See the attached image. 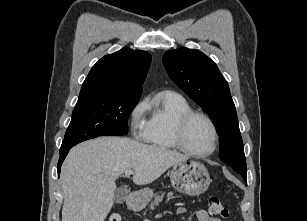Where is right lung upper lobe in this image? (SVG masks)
<instances>
[{
    "instance_id": "cb5924a9",
    "label": "right lung upper lobe",
    "mask_w": 307,
    "mask_h": 221,
    "mask_svg": "<svg viewBox=\"0 0 307 221\" xmlns=\"http://www.w3.org/2000/svg\"><path fill=\"white\" fill-rule=\"evenodd\" d=\"M150 63L148 52L126 47L102 57L85 79L78 101L105 95H141Z\"/></svg>"
}]
</instances>
